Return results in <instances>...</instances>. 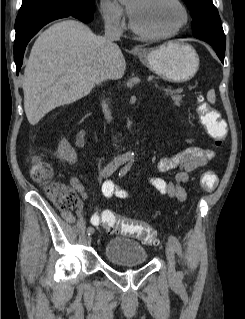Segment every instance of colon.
<instances>
[{
  "instance_id": "colon-1",
  "label": "colon",
  "mask_w": 245,
  "mask_h": 319,
  "mask_svg": "<svg viewBox=\"0 0 245 319\" xmlns=\"http://www.w3.org/2000/svg\"><path fill=\"white\" fill-rule=\"evenodd\" d=\"M197 111L201 124L213 140L214 145L216 147L222 146L227 136V127L218 111L203 97L197 99ZM31 173L33 179L45 187L48 195L60 210L70 212L78 206L79 198L71 187L50 180L52 172L47 164L36 161L32 165ZM216 185L217 176L214 171H207L203 174L201 187L204 190H213ZM102 223L109 233L119 232L136 237L149 245L157 244L156 231L143 221L120 217L114 212L106 210L102 214Z\"/></svg>"
}]
</instances>
